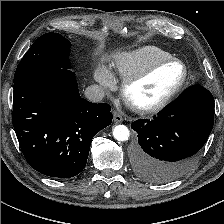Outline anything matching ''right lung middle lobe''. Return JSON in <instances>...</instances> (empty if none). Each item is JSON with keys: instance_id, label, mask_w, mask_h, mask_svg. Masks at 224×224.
<instances>
[{"instance_id": "1", "label": "right lung middle lobe", "mask_w": 224, "mask_h": 224, "mask_svg": "<svg viewBox=\"0 0 224 224\" xmlns=\"http://www.w3.org/2000/svg\"><path fill=\"white\" fill-rule=\"evenodd\" d=\"M70 46L71 43L58 33L40 36L20 61L14 75V87L43 69H69Z\"/></svg>"}]
</instances>
